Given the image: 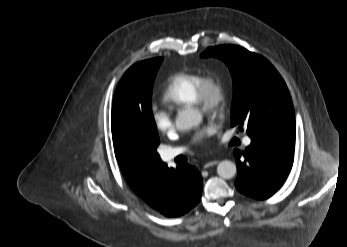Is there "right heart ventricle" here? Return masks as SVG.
Returning <instances> with one entry per match:
<instances>
[{"mask_svg":"<svg viewBox=\"0 0 347 247\" xmlns=\"http://www.w3.org/2000/svg\"><path fill=\"white\" fill-rule=\"evenodd\" d=\"M201 78V74L191 71H181L171 75L163 88L162 100L173 107L195 104Z\"/></svg>","mask_w":347,"mask_h":247,"instance_id":"obj_1","label":"right heart ventricle"}]
</instances>
